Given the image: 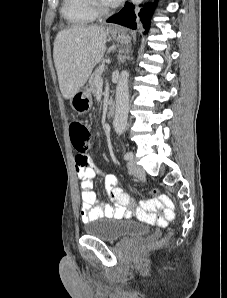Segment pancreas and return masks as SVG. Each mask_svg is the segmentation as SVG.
<instances>
[{
	"label": "pancreas",
	"mask_w": 227,
	"mask_h": 298,
	"mask_svg": "<svg viewBox=\"0 0 227 298\" xmlns=\"http://www.w3.org/2000/svg\"><path fill=\"white\" fill-rule=\"evenodd\" d=\"M104 71V65H101L95 69L89 79V87L92 92L97 90L98 84L96 83L97 77H99Z\"/></svg>",
	"instance_id": "obj_1"
}]
</instances>
